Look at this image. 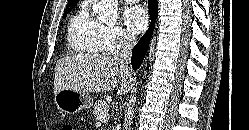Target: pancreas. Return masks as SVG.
<instances>
[{"mask_svg": "<svg viewBox=\"0 0 249 130\" xmlns=\"http://www.w3.org/2000/svg\"><path fill=\"white\" fill-rule=\"evenodd\" d=\"M109 111V106L105 101H98L97 103H95L94 105V109H93V114L96 118L99 119V115L102 112L107 113Z\"/></svg>", "mask_w": 249, "mask_h": 130, "instance_id": "cf45deb5", "label": "pancreas"}]
</instances>
